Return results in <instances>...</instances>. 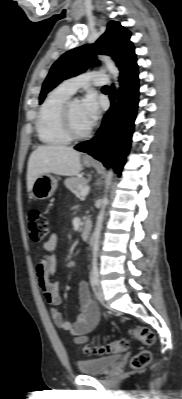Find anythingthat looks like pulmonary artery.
Masks as SVG:
<instances>
[{
  "instance_id": "pulmonary-artery-1",
  "label": "pulmonary artery",
  "mask_w": 182,
  "mask_h": 399,
  "mask_svg": "<svg viewBox=\"0 0 182 399\" xmlns=\"http://www.w3.org/2000/svg\"><path fill=\"white\" fill-rule=\"evenodd\" d=\"M102 85L106 83V74L102 71H90L71 77L60 84V87L70 94L90 84Z\"/></svg>"
}]
</instances>
